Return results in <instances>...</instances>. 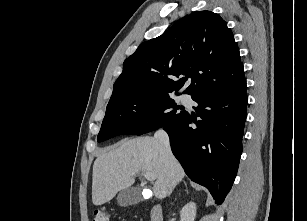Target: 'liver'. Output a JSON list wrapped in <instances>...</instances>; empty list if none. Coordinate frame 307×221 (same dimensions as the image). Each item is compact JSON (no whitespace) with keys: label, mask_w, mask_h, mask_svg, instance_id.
Instances as JSON below:
<instances>
[{"label":"liver","mask_w":307,"mask_h":221,"mask_svg":"<svg viewBox=\"0 0 307 221\" xmlns=\"http://www.w3.org/2000/svg\"><path fill=\"white\" fill-rule=\"evenodd\" d=\"M150 172L156 177L153 192L163 199L169 194L172 179L180 182L185 172L174 156L155 137L123 140L102 152L94 162L92 175V202L102 205L134 184L135 175Z\"/></svg>","instance_id":"6515ba94"}]
</instances>
